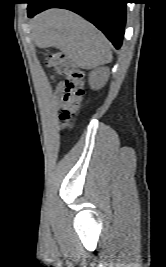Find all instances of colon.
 I'll list each match as a JSON object with an SVG mask.
<instances>
[{
  "label": "colon",
  "instance_id": "obj_1",
  "mask_svg": "<svg viewBox=\"0 0 166 267\" xmlns=\"http://www.w3.org/2000/svg\"><path fill=\"white\" fill-rule=\"evenodd\" d=\"M46 63L55 70L56 74L64 78L62 107L59 118L61 128L69 129L79 111L85 94L84 72L60 52L48 54Z\"/></svg>",
  "mask_w": 166,
  "mask_h": 267
}]
</instances>
